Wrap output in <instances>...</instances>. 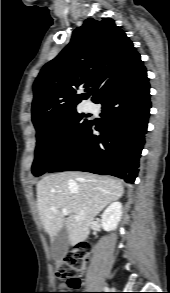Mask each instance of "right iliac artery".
I'll list each match as a JSON object with an SVG mask.
<instances>
[{
  "label": "right iliac artery",
  "instance_id": "82829eb1",
  "mask_svg": "<svg viewBox=\"0 0 170 293\" xmlns=\"http://www.w3.org/2000/svg\"><path fill=\"white\" fill-rule=\"evenodd\" d=\"M104 289H105V290H106V292H107L108 288H107V287H105Z\"/></svg>",
  "mask_w": 170,
  "mask_h": 293
}]
</instances>
